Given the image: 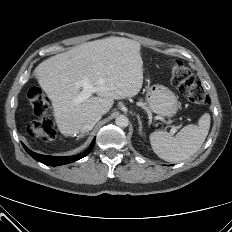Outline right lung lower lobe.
Wrapping results in <instances>:
<instances>
[{
    "instance_id": "right-lung-lower-lobe-1",
    "label": "right lung lower lobe",
    "mask_w": 232,
    "mask_h": 232,
    "mask_svg": "<svg viewBox=\"0 0 232 232\" xmlns=\"http://www.w3.org/2000/svg\"><path fill=\"white\" fill-rule=\"evenodd\" d=\"M94 143H95V139L92 141L89 149L86 152H84L80 155L66 156V157L40 155V154H37V153L31 151L30 149H28L24 144H22V145H23L24 149L28 152V154L30 156H32L34 159H36L37 161L42 162L46 165L57 166V165L71 163V162L77 161V160L85 157L92 150Z\"/></svg>"
}]
</instances>
